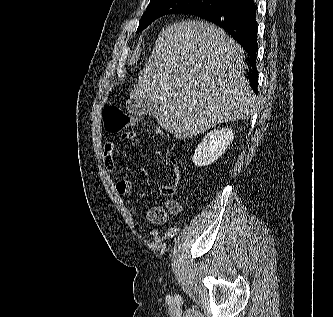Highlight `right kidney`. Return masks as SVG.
<instances>
[{
  "label": "right kidney",
  "mask_w": 333,
  "mask_h": 317,
  "mask_svg": "<svg viewBox=\"0 0 333 317\" xmlns=\"http://www.w3.org/2000/svg\"><path fill=\"white\" fill-rule=\"evenodd\" d=\"M233 139L234 133L231 128L224 127L210 131L195 149L192 157L194 165L202 167L214 163L224 154Z\"/></svg>",
  "instance_id": "right-kidney-1"
}]
</instances>
